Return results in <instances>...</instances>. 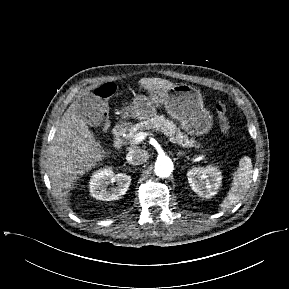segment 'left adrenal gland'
<instances>
[{
	"instance_id": "1",
	"label": "left adrenal gland",
	"mask_w": 289,
	"mask_h": 289,
	"mask_svg": "<svg viewBox=\"0 0 289 289\" xmlns=\"http://www.w3.org/2000/svg\"><path fill=\"white\" fill-rule=\"evenodd\" d=\"M181 154H182V152H179V153H178V155H181Z\"/></svg>"
}]
</instances>
